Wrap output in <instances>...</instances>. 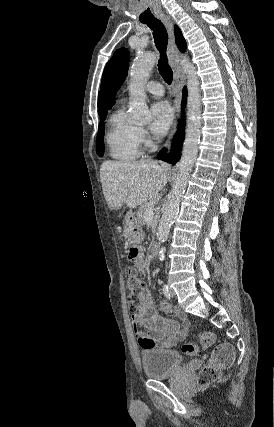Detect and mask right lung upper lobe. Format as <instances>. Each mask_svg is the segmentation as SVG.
Instances as JSON below:
<instances>
[{
	"label": "right lung upper lobe",
	"mask_w": 274,
	"mask_h": 427,
	"mask_svg": "<svg viewBox=\"0 0 274 427\" xmlns=\"http://www.w3.org/2000/svg\"><path fill=\"white\" fill-rule=\"evenodd\" d=\"M175 30V40H176V44L179 48L180 51L184 52L186 50V41L180 31V29L175 25L174 27ZM106 112V109L104 108V106L101 103L100 97H98V113L102 114Z\"/></svg>",
	"instance_id": "1"
}]
</instances>
